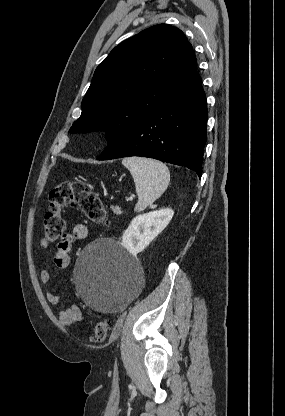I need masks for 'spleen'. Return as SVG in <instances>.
I'll return each mask as SVG.
<instances>
[{
	"mask_svg": "<svg viewBox=\"0 0 285 416\" xmlns=\"http://www.w3.org/2000/svg\"><path fill=\"white\" fill-rule=\"evenodd\" d=\"M122 164L129 170L135 184L138 196L135 212H143L167 190L170 172L165 164L150 158H123Z\"/></svg>",
	"mask_w": 285,
	"mask_h": 416,
	"instance_id": "1",
	"label": "spleen"
}]
</instances>
